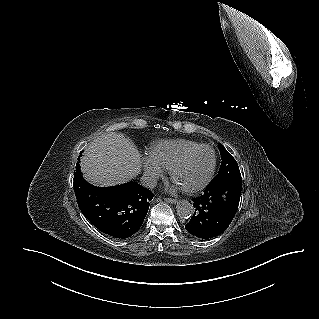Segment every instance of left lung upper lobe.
I'll return each instance as SVG.
<instances>
[{"mask_svg": "<svg viewBox=\"0 0 319 319\" xmlns=\"http://www.w3.org/2000/svg\"><path fill=\"white\" fill-rule=\"evenodd\" d=\"M219 151L222 159L218 175L209 185H215L230 177H241L238 164L234 157L219 143Z\"/></svg>", "mask_w": 319, "mask_h": 319, "instance_id": "5c2ea615", "label": "left lung upper lobe"}]
</instances>
